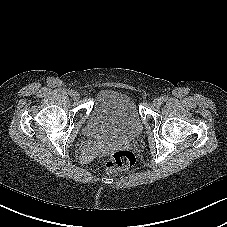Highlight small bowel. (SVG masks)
I'll return each instance as SVG.
<instances>
[{"label":"small bowel","mask_w":227,"mask_h":227,"mask_svg":"<svg viewBox=\"0 0 227 227\" xmlns=\"http://www.w3.org/2000/svg\"><path fill=\"white\" fill-rule=\"evenodd\" d=\"M85 133L88 135H93L94 134V129L91 125H89L86 129H85Z\"/></svg>","instance_id":"small-bowel-1"}]
</instances>
